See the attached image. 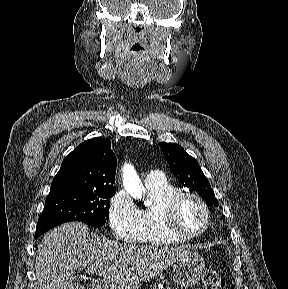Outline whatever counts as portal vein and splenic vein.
<instances>
[{"mask_svg": "<svg viewBox=\"0 0 288 289\" xmlns=\"http://www.w3.org/2000/svg\"><path fill=\"white\" fill-rule=\"evenodd\" d=\"M92 286L94 289H103L101 283L98 280H92Z\"/></svg>", "mask_w": 288, "mask_h": 289, "instance_id": "18ae733b", "label": "portal vein and splenic vein"}]
</instances>
